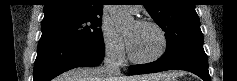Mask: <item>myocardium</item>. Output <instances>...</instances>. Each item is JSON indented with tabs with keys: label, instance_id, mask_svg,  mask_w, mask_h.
I'll use <instances>...</instances> for the list:
<instances>
[{
	"label": "myocardium",
	"instance_id": "obj_1",
	"mask_svg": "<svg viewBox=\"0 0 237 81\" xmlns=\"http://www.w3.org/2000/svg\"><path fill=\"white\" fill-rule=\"evenodd\" d=\"M136 23L141 26H150L154 28L160 37L161 46H160V49L154 55L145 57V58H139V57H136L132 53L130 45L129 43H127V52H128L129 59L132 62L137 63V64H146V63L157 61L165 54L168 47V39L164 30L156 22L151 21V20L139 19Z\"/></svg>",
	"mask_w": 237,
	"mask_h": 81
}]
</instances>
